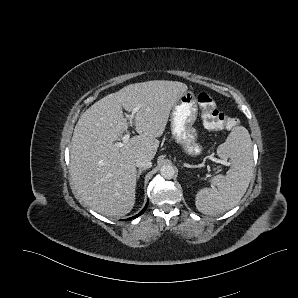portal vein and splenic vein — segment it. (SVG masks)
I'll return each instance as SVG.
<instances>
[{
  "label": "portal vein and splenic vein",
  "mask_w": 298,
  "mask_h": 298,
  "mask_svg": "<svg viewBox=\"0 0 298 298\" xmlns=\"http://www.w3.org/2000/svg\"><path fill=\"white\" fill-rule=\"evenodd\" d=\"M139 111V107H135L132 111L131 114H126V117L129 119V121L132 123V120L134 118V115ZM129 138H130V133H126L123 137H122V142H116L115 143V146L117 147H124V145H126L128 142H129ZM208 158L212 161V162H215V163H221V160L216 158V157H213V156H208Z\"/></svg>",
  "instance_id": "obj_1"
}]
</instances>
